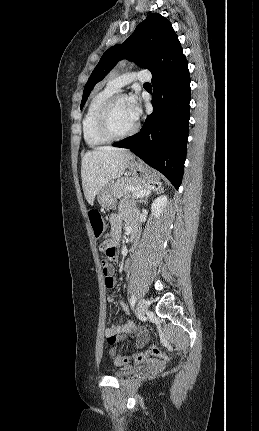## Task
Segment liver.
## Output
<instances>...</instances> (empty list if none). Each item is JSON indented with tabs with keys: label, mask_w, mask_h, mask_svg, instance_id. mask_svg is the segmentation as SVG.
Listing matches in <instances>:
<instances>
[{
	"label": "liver",
	"mask_w": 259,
	"mask_h": 431,
	"mask_svg": "<svg viewBox=\"0 0 259 431\" xmlns=\"http://www.w3.org/2000/svg\"><path fill=\"white\" fill-rule=\"evenodd\" d=\"M134 155L127 149L110 146L88 151L82 158L81 177L85 198L93 205L95 196L111 180L123 175Z\"/></svg>",
	"instance_id": "6515ba94"
}]
</instances>
